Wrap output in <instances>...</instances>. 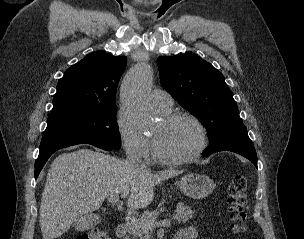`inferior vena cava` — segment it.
Here are the masks:
<instances>
[{
    "label": "inferior vena cava",
    "instance_id": "602c4592",
    "mask_svg": "<svg viewBox=\"0 0 304 239\" xmlns=\"http://www.w3.org/2000/svg\"><path fill=\"white\" fill-rule=\"evenodd\" d=\"M126 155H127V161L132 167L144 166L140 155L135 150H131V149L127 150Z\"/></svg>",
    "mask_w": 304,
    "mask_h": 239
}]
</instances>
